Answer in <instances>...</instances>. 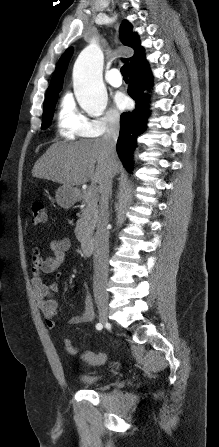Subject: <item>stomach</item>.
Returning <instances> with one entry per match:
<instances>
[{
    "label": "stomach",
    "instance_id": "1",
    "mask_svg": "<svg viewBox=\"0 0 219 447\" xmlns=\"http://www.w3.org/2000/svg\"><path fill=\"white\" fill-rule=\"evenodd\" d=\"M79 197V190L74 187L62 185L56 191V201L63 208L72 207Z\"/></svg>",
    "mask_w": 219,
    "mask_h": 447
}]
</instances>
